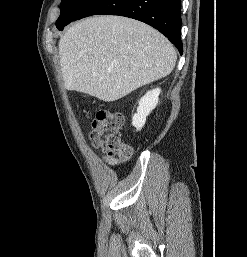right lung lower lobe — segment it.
I'll return each instance as SVG.
<instances>
[{"label":"right lung lower lobe","instance_id":"right-lung-lower-lobe-1","mask_svg":"<svg viewBox=\"0 0 247 257\" xmlns=\"http://www.w3.org/2000/svg\"><path fill=\"white\" fill-rule=\"evenodd\" d=\"M180 12L181 0H92L73 21L97 14L133 18L158 29L182 54Z\"/></svg>","mask_w":247,"mask_h":257}]
</instances>
